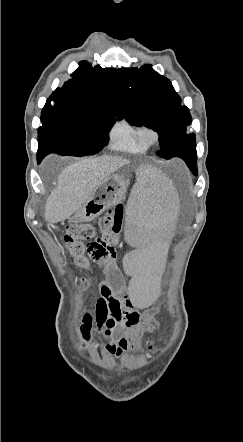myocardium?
I'll return each mask as SVG.
<instances>
[{"label":"myocardium","instance_id":"myocardium-1","mask_svg":"<svg viewBox=\"0 0 243 442\" xmlns=\"http://www.w3.org/2000/svg\"><path fill=\"white\" fill-rule=\"evenodd\" d=\"M141 138L147 146H153L160 141L161 133L157 127L145 125L142 127Z\"/></svg>","mask_w":243,"mask_h":442}]
</instances>
